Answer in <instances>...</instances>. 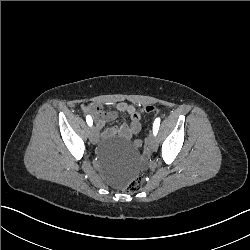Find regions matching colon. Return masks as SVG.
I'll return each mask as SVG.
<instances>
[{
	"instance_id": "colon-1",
	"label": "colon",
	"mask_w": 250,
	"mask_h": 250,
	"mask_svg": "<svg viewBox=\"0 0 250 250\" xmlns=\"http://www.w3.org/2000/svg\"><path fill=\"white\" fill-rule=\"evenodd\" d=\"M143 111L146 114H151L154 111V108L151 105H146L143 108ZM132 119L137 121L140 119V114L138 112H133L131 115ZM134 146L135 147H141L142 146V139L141 138H136L134 141ZM144 183V177L142 175H137L134 179L130 181L129 184H125L123 186V192L125 194H130L131 192H136L138 191L142 184Z\"/></svg>"
}]
</instances>
